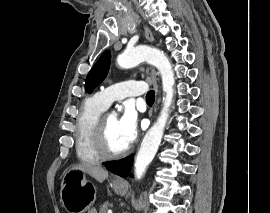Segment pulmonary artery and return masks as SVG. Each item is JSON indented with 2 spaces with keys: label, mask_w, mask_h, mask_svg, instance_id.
Instances as JSON below:
<instances>
[{
  "label": "pulmonary artery",
  "mask_w": 270,
  "mask_h": 213,
  "mask_svg": "<svg viewBox=\"0 0 270 213\" xmlns=\"http://www.w3.org/2000/svg\"><path fill=\"white\" fill-rule=\"evenodd\" d=\"M146 91L145 83L142 81L126 80L115 83L95 94V99L104 109L116 100L127 97H134L144 94Z\"/></svg>",
  "instance_id": "e3ab8cb5"
}]
</instances>
